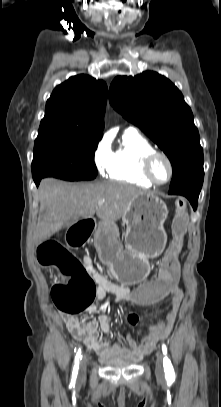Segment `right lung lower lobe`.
Wrapping results in <instances>:
<instances>
[{"mask_svg":"<svg viewBox=\"0 0 221 407\" xmlns=\"http://www.w3.org/2000/svg\"><path fill=\"white\" fill-rule=\"evenodd\" d=\"M35 181V184L38 186L40 183L41 178H33Z\"/></svg>","mask_w":221,"mask_h":407,"instance_id":"right-lung-lower-lobe-1","label":"right lung lower lobe"}]
</instances>
